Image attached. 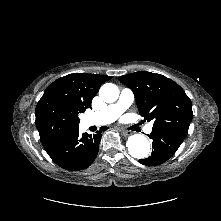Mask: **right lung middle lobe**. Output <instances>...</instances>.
Masks as SVG:
<instances>
[{"label": "right lung middle lobe", "instance_id": "obj_1", "mask_svg": "<svg viewBox=\"0 0 221 221\" xmlns=\"http://www.w3.org/2000/svg\"><path fill=\"white\" fill-rule=\"evenodd\" d=\"M81 111L58 98H49L36 108V127L42 143L78 129Z\"/></svg>", "mask_w": 221, "mask_h": 221}]
</instances>
